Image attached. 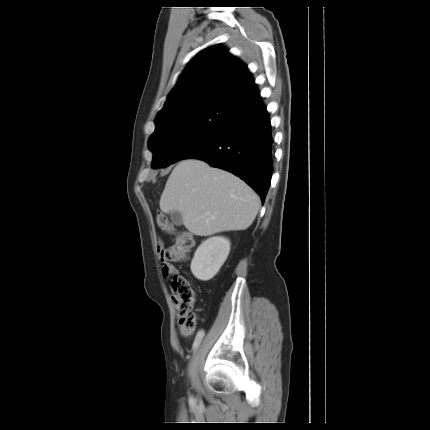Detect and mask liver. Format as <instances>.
<instances>
[{"label":"liver","mask_w":430,"mask_h":430,"mask_svg":"<svg viewBox=\"0 0 430 430\" xmlns=\"http://www.w3.org/2000/svg\"><path fill=\"white\" fill-rule=\"evenodd\" d=\"M162 212L181 213L186 229L196 236L246 230L260 199L236 175L198 159H186L171 172L161 195Z\"/></svg>","instance_id":"obj_1"}]
</instances>
